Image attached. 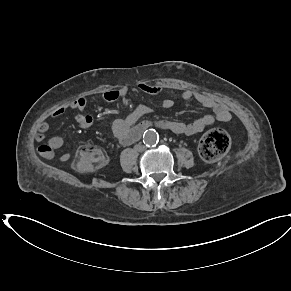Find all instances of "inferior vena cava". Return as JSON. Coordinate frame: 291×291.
Wrapping results in <instances>:
<instances>
[{
	"mask_svg": "<svg viewBox=\"0 0 291 291\" xmlns=\"http://www.w3.org/2000/svg\"><path fill=\"white\" fill-rule=\"evenodd\" d=\"M139 150H140V151H143V150H144V147H140Z\"/></svg>",
	"mask_w": 291,
	"mask_h": 291,
	"instance_id": "1",
	"label": "inferior vena cava"
}]
</instances>
